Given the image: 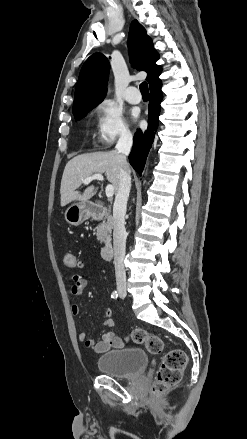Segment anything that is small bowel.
Returning a JSON list of instances; mask_svg holds the SVG:
<instances>
[{"instance_id": "obj_1", "label": "small bowel", "mask_w": 247, "mask_h": 439, "mask_svg": "<svg viewBox=\"0 0 247 439\" xmlns=\"http://www.w3.org/2000/svg\"><path fill=\"white\" fill-rule=\"evenodd\" d=\"M71 279V293L75 296L81 295L87 286V280L80 274H73ZM71 312L74 315H78L80 312L79 306L73 304L71 306ZM111 316V309H106L102 316L101 326L108 329L112 328L114 326V321ZM79 340L86 348H90L98 354L105 353L113 348H120L124 345V340L111 331L104 333L100 341H95L94 339L89 338L85 332H80Z\"/></svg>"}]
</instances>
